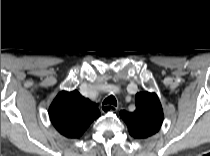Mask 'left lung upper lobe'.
Segmentation results:
<instances>
[{
  "mask_svg": "<svg viewBox=\"0 0 210 156\" xmlns=\"http://www.w3.org/2000/svg\"><path fill=\"white\" fill-rule=\"evenodd\" d=\"M134 112L121 111L120 116L136 139H145L159 131L163 122L161 103L155 93L140 92L135 97Z\"/></svg>",
  "mask_w": 210,
  "mask_h": 156,
  "instance_id": "5c2ea615",
  "label": "left lung upper lobe"
}]
</instances>
